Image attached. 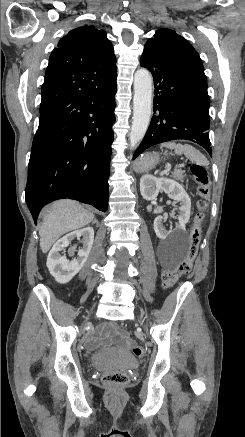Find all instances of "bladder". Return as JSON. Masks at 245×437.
Wrapping results in <instances>:
<instances>
[{"label": "bladder", "mask_w": 245, "mask_h": 437, "mask_svg": "<svg viewBox=\"0 0 245 437\" xmlns=\"http://www.w3.org/2000/svg\"><path fill=\"white\" fill-rule=\"evenodd\" d=\"M92 361L95 365L112 370H128L137 367L138 361L127 351L106 348L96 353Z\"/></svg>", "instance_id": "31cf9c89"}]
</instances>
